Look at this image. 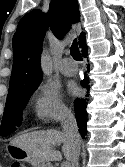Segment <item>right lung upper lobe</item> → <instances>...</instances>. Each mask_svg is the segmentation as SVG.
<instances>
[{"instance_id":"obj_1","label":"right lung upper lobe","mask_w":125,"mask_h":167,"mask_svg":"<svg viewBox=\"0 0 125 167\" xmlns=\"http://www.w3.org/2000/svg\"><path fill=\"white\" fill-rule=\"evenodd\" d=\"M77 0H52L49 11L44 14L37 9L26 14L19 22L13 36V68L8 97L37 88L42 79L40 53L45 31L50 26L57 38L70 29L71 23L79 21ZM85 43V34L79 36L80 48Z\"/></svg>"}]
</instances>
